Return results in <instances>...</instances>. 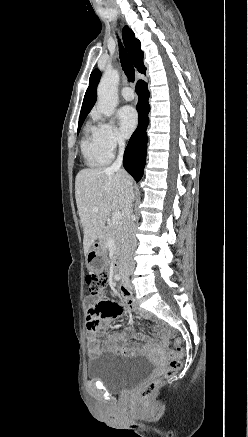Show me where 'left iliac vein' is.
<instances>
[{
    "label": "left iliac vein",
    "mask_w": 248,
    "mask_h": 437,
    "mask_svg": "<svg viewBox=\"0 0 248 437\" xmlns=\"http://www.w3.org/2000/svg\"><path fill=\"white\" fill-rule=\"evenodd\" d=\"M123 283H124L125 287H127L128 289H132L131 283H130L128 278H124Z\"/></svg>",
    "instance_id": "obj_1"
}]
</instances>
